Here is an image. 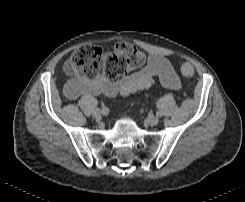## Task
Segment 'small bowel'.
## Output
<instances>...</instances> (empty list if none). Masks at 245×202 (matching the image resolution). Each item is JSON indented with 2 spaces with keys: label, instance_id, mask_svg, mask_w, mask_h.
Returning <instances> with one entry per match:
<instances>
[{
  "label": "small bowel",
  "instance_id": "c3829d8e",
  "mask_svg": "<svg viewBox=\"0 0 245 202\" xmlns=\"http://www.w3.org/2000/svg\"><path fill=\"white\" fill-rule=\"evenodd\" d=\"M158 80L165 88L180 90L181 82L170 63L160 55L148 58L144 67L118 81H111L104 76L96 79L77 78L68 93L70 101L84 96L105 94L110 97L129 95L151 87Z\"/></svg>",
  "mask_w": 245,
  "mask_h": 202
}]
</instances>
